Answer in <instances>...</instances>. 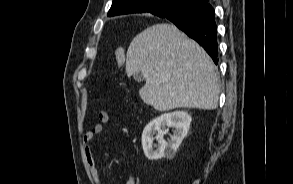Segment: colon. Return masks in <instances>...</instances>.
<instances>
[{
  "mask_svg": "<svg viewBox=\"0 0 293 184\" xmlns=\"http://www.w3.org/2000/svg\"><path fill=\"white\" fill-rule=\"evenodd\" d=\"M114 54H115L117 64L120 67H123L124 64H125V52H124V50L121 49V48H117V49H115Z\"/></svg>",
  "mask_w": 293,
  "mask_h": 184,
  "instance_id": "obj_1",
  "label": "colon"
}]
</instances>
